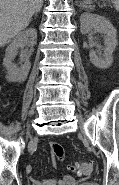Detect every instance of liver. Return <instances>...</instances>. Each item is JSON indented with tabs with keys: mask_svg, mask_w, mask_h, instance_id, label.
Returning <instances> with one entry per match:
<instances>
[{
	"mask_svg": "<svg viewBox=\"0 0 119 185\" xmlns=\"http://www.w3.org/2000/svg\"><path fill=\"white\" fill-rule=\"evenodd\" d=\"M43 0H0V47L24 30Z\"/></svg>",
	"mask_w": 119,
	"mask_h": 185,
	"instance_id": "1",
	"label": "liver"
}]
</instances>
